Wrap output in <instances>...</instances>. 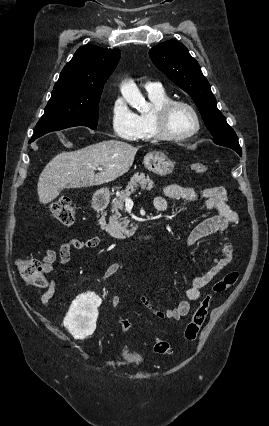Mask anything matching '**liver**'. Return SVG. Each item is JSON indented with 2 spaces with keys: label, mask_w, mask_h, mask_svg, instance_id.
Here are the masks:
<instances>
[{
  "label": "liver",
  "mask_w": 269,
  "mask_h": 426,
  "mask_svg": "<svg viewBox=\"0 0 269 426\" xmlns=\"http://www.w3.org/2000/svg\"><path fill=\"white\" fill-rule=\"evenodd\" d=\"M138 151L133 145L102 141L77 151L62 152L53 157L39 176V201H53L65 188H80L111 182L129 171ZM101 166L102 172L95 173Z\"/></svg>",
  "instance_id": "obj_1"
}]
</instances>
